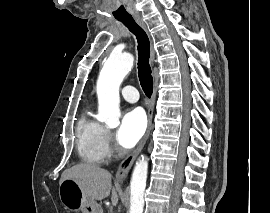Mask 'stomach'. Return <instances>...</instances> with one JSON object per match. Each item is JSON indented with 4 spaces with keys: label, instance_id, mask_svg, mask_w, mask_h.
I'll use <instances>...</instances> for the list:
<instances>
[{
    "label": "stomach",
    "instance_id": "obj_1",
    "mask_svg": "<svg viewBox=\"0 0 270 213\" xmlns=\"http://www.w3.org/2000/svg\"><path fill=\"white\" fill-rule=\"evenodd\" d=\"M59 197L64 207L78 213H103L100 205L87 198L76 181L64 179L59 185Z\"/></svg>",
    "mask_w": 270,
    "mask_h": 213
}]
</instances>
